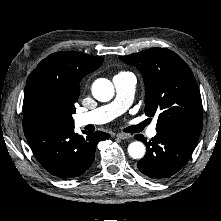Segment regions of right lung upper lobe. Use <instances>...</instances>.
<instances>
[{
	"mask_svg": "<svg viewBox=\"0 0 221 221\" xmlns=\"http://www.w3.org/2000/svg\"><path fill=\"white\" fill-rule=\"evenodd\" d=\"M102 63V57L84 53L72 51L53 53L43 59L30 73L25 93L37 88L44 89L75 112L74 104L80 93L79 82L86 74L97 70Z\"/></svg>",
	"mask_w": 221,
	"mask_h": 221,
	"instance_id": "cb5924a9",
	"label": "right lung upper lobe"
}]
</instances>
